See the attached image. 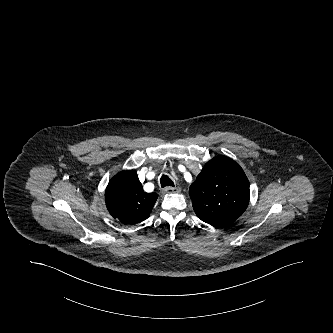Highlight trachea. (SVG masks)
<instances>
[{"instance_id": "trachea-1", "label": "trachea", "mask_w": 333, "mask_h": 333, "mask_svg": "<svg viewBox=\"0 0 333 333\" xmlns=\"http://www.w3.org/2000/svg\"><path fill=\"white\" fill-rule=\"evenodd\" d=\"M161 187H166V186H172L174 187L173 181L167 176V175H162L160 179Z\"/></svg>"}]
</instances>
